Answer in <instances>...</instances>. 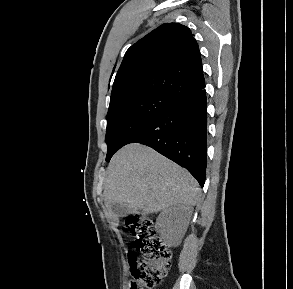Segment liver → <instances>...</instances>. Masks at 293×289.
I'll return each instance as SVG.
<instances>
[{
    "label": "liver",
    "instance_id": "1",
    "mask_svg": "<svg viewBox=\"0 0 293 289\" xmlns=\"http://www.w3.org/2000/svg\"><path fill=\"white\" fill-rule=\"evenodd\" d=\"M199 196L197 182L187 170L141 144L116 152L106 171L103 198L115 220V203H126L133 214H149L176 204L195 205Z\"/></svg>",
    "mask_w": 293,
    "mask_h": 289
}]
</instances>
